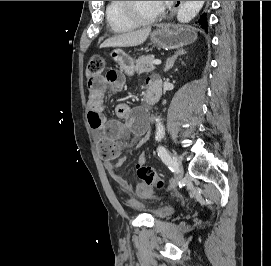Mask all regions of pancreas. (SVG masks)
Segmentation results:
<instances>
[{
	"mask_svg": "<svg viewBox=\"0 0 271 266\" xmlns=\"http://www.w3.org/2000/svg\"><path fill=\"white\" fill-rule=\"evenodd\" d=\"M153 60H154L153 55H143L139 57L136 60L135 71L139 74L144 72H151L152 70H154V66L152 64Z\"/></svg>",
	"mask_w": 271,
	"mask_h": 266,
	"instance_id": "1",
	"label": "pancreas"
}]
</instances>
